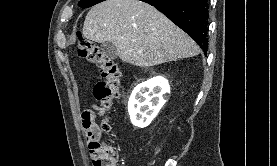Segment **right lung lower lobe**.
I'll return each instance as SVG.
<instances>
[{"instance_id": "98d812e1", "label": "right lung lower lobe", "mask_w": 277, "mask_h": 166, "mask_svg": "<svg viewBox=\"0 0 277 166\" xmlns=\"http://www.w3.org/2000/svg\"><path fill=\"white\" fill-rule=\"evenodd\" d=\"M165 14L189 34L205 52L208 50V0H141Z\"/></svg>"}]
</instances>
